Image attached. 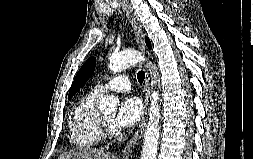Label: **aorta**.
I'll list each match as a JSON object with an SVG mask.
<instances>
[{"mask_svg":"<svg viewBox=\"0 0 253 159\" xmlns=\"http://www.w3.org/2000/svg\"><path fill=\"white\" fill-rule=\"evenodd\" d=\"M144 60V57L137 51L126 50L123 52H114L109 58V69L115 73ZM152 69L153 71L150 70L152 76V94L150 98L149 119L144 134L141 159H156L158 152V140L160 135L159 92L158 90H153V87L156 85L159 87V79H157L158 74L154 71L155 68L152 67ZM118 103V98L104 95L98 99L97 108L101 111H115Z\"/></svg>","mask_w":253,"mask_h":159,"instance_id":"762f6f07","label":"aorta"}]
</instances>
